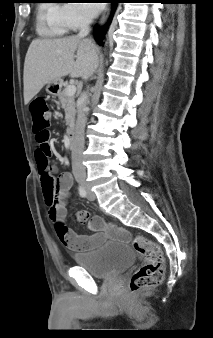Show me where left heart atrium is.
<instances>
[{
    "mask_svg": "<svg viewBox=\"0 0 213 338\" xmlns=\"http://www.w3.org/2000/svg\"><path fill=\"white\" fill-rule=\"evenodd\" d=\"M88 2L94 0H87ZM83 7L89 16H95L99 13L101 9L100 3H83Z\"/></svg>",
    "mask_w": 213,
    "mask_h": 338,
    "instance_id": "39dd6f15",
    "label": "left heart atrium"
}]
</instances>
